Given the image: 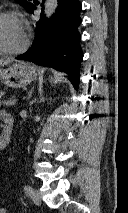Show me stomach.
I'll return each mask as SVG.
<instances>
[{
	"instance_id": "stomach-1",
	"label": "stomach",
	"mask_w": 128,
	"mask_h": 213,
	"mask_svg": "<svg viewBox=\"0 0 128 213\" xmlns=\"http://www.w3.org/2000/svg\"><path fill=\"white\" fill-rule=\"evenodd\" d=\"M36 77V70L22 62L15 63L5 69H0V80L12 88L26 86Z\"/></svg>"
}]
</instances>
